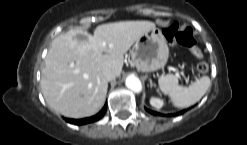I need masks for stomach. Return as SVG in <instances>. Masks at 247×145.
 I'll return each instance as SVG.
<instances>
[{"label": "stomach", "mask_w": 247, "mask_h": 145, "mask_svg": "<svg viewBox=\"0 0 247 145\" xmlns=\"http://www.w3.org/2000/svg\"><path fill=\"white\" fill-rule=\"evenodd\" d=\"M131 60L138 71L152 72L163 68L169 57V48L162 31L153 28L135 41Z\"/></svg>", "instance_id": "1"}]
</instances>
